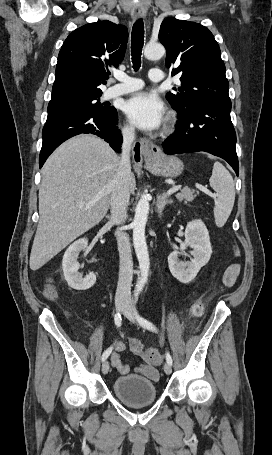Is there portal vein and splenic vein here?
<instances>
[{
  "label": "portal vein and splenic vein",
  "mask_w": 272,
  "mask_h": 455,
  "mask_svg": "<svg viewBox=\"0 0 272 455\" xmlns=\"http://www.w3.org/2000/svg\"><path fill=\"white\" fill-rule=\"evenodd\" d=\"M179 189H180V186H174L167 191V195H171V194L177 192Z\"/></svg>",
  "instance_id": "obj_1"
}]
</instances>
